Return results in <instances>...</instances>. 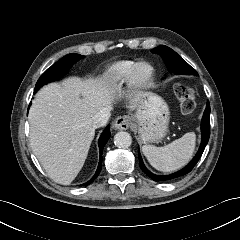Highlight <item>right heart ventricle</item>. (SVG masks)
I'll list each match as a JSON object with an SVG mask.
<instances>
[{
  "mask_svg": "<svg viewBox=\"0 0 240 240\" xmlns=\"http://www.w3.org/2000/svg\"><path fill=\"white\" fill-rule=\"evenodd\" d=\"M136 63L132 60H121L111 64L105 73L106 86L116 90L128 82L129 75Z\"/></svg>",
  "mask_w": 240,
  "mask_h": 240,
  "instance_id": "e07e8e85",
  "label": "right heart ventricle"
}]
</instances>
